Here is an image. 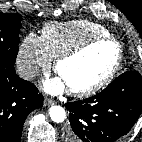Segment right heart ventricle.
I'll return each mask as SVG.
<instances>
[{
	"mask_svg": "<svg viewBox=\"0 0 142 142\" xmlns=\"http://www.w3.org/2000/svg\"><path fill=\"white\" fill-rule=\"evenodd\" d=\"M104 26L89 21L50 22L41 31V40L47 52L54 59L81 43L100 36H109Z\"/></svg>",
	"mask_w": 142,
	"mask_h": 142,
	"instance_id": "1",
	"label": "right heart ventricle"
}]
</instances>
